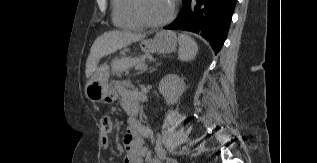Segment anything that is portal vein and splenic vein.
Here are the masks:
<instances>
[{
  "mask_svg": "<svg viewBox=\"0 0 317 163\" xmlns=\"http://www.w3.org/2000/svg\"><path fill=\"white\" fill-rule=\"evenodd\" d=\"M145 67H146V65H139V66L137 67V69L142 70V69H145Z\"/></svg>",
  "mask_w": 317,
  "mask_h": 163,
  "instance_id": "18ae733b",
  "label": "portal vein and splenic vein"
}]
</instances>
